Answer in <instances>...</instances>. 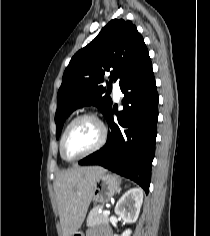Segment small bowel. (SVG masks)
<instances>
[{
  "label": "small bowel",
  "instance_id": "small-bowel-1",
  "mask_svg": "<svg viewBox=\"0 0 210 236\" xmlns=\"http://www.w3.org/2000/svg\"><path fill=\"white\" fill-rule=\"evenodd\" d=\"M88 236H111L110 230H101L100 232L91 231L88 233Z\"/></svg>",
  "mask_w": 210,
  "mask_h": 236
}]
</instances>
